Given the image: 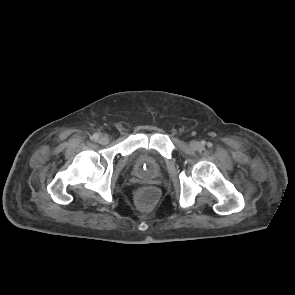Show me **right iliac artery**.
Returning <instances> with one entry per match:
<instances>
[{"label":"right iliac artery","instance_id":"1","mask_svg":"<svg viewBox=\"0 0 295 295\" xmlns=\"http://www.w3.org/2000/svg\"><path fill=\"white\" fill-rule=\"evenodd\" d=\"M98 138H99V135L98 134H94L92 137H91V139H93V140H98Z\"/></svg>","mask_w":295,"mask_h":295}]
</instances>
